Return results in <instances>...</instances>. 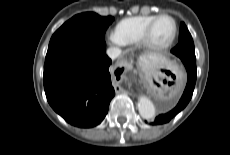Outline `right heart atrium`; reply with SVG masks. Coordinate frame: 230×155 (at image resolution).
<instances>
[{
    "label": "right heart atrium",
    "mask_w": 230,
    "mask_h": 155,
    "mask_svg": "<svg viewBox=\"0 0 230 155\" xmlns=\"http://www.w3.org/2000/svg\"><path fill=\"white\" fill-rule=\"evenodd\" d=\"M107 41L117 47H121L123 45H125L120 39L119 37L115 34V32H111L107 35Z\"/></svg>",
    "instance_id": "d8ad5b80"
}]
</instances>
